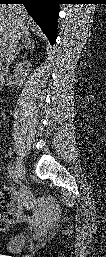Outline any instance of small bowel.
I'll return each instance as SVG.
<instances>
[{"label":"small bowel","instance_id":"small-bowel-1","mask_svg":"<svg viewBox=\"0 0 106 257\" xmlns=\"http://www.w3.org/2000/svg\"><path fill=\"white\" fill-rule=\"evenodd\" d=\"M14 194H4L0 202V229L4 230L7 225L22 220H36L38 210L31 201L26 203V207L33 211V215L28 217L21 206H17L13 200Z\"/></svg>","mask_w":106,"mask_h":257}]
</instances>
